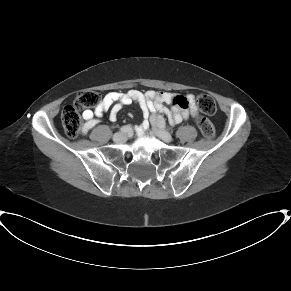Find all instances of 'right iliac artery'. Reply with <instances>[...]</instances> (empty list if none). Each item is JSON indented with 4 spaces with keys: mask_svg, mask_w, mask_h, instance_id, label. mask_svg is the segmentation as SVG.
<instances>
[{
    "mask_svg": "<svg viewBox=\"0 0 291 291\" xmlns=\"http://www.w3.org/2000/svg\"><path fill=\"white\" fill-rule=\"evenodd\" d=\"M131 130H132V128H131L130 125H125V126H122V127L120 128V131H121L122 133H128V132H130Z\"/></svg>",
    "mask_w": 291,
    "mask_h": 291,
    "instance_id": "right-iliac-artery-1",
    "label": "right iliac artery"
}]
</instances>
